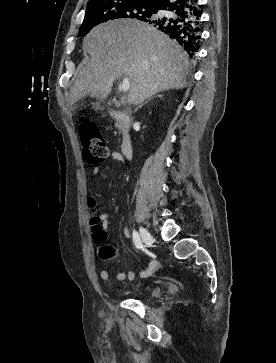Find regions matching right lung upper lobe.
Instances as JSON below:
<instances>
[{"mask_svg":"<svg viewBox=\"0 0 276 363\" xmlns=\"http://www.w3.org/2000/svg\"><path fill=\"white\" fill-rule=\"evenodd\" d=\"M98 1H102V0H90L88 5L94 3V2H98ZM131 1H140V2H145L151 6H154V7H158L162 2H164L165 0H131ZM147 20V19H145Z\"/></svg>","mask_w":276,"mask_h":363,"instance_id":"obj_1","label":"right lung upper lobe"}]
</instances>
